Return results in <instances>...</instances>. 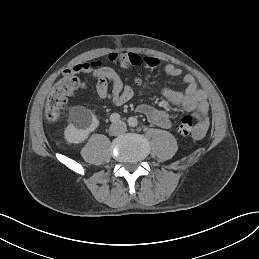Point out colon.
Here are the masks:
<instances>
[{
    "instance_id": "1",
    "label": "colon",
    "mask_w": 259,
    "mask_h": 259,
    "mask_svg": "<svg viewBox=\"0 0 259 259\" xmlns=\"http://www.w3.org/2000/svg\"><path fill=\"white\" fill-rule=\"evenodd\" d=\"M140 85L141 81H136ZM84 88V83L74 74H64L50 89L46 103L45 116L48 122L56 123L65 112L69 97L74 96ZM178 130L182 135H191L196 125L190 116H183Z\"/></svg>"
}]
</instances>
